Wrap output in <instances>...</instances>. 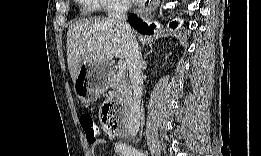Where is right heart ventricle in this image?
Instances as JSON below:
<instances>
[{"label": "right heart ventricle", "mask_w": 261, "mask_h": 156, "mask_svg": "<svg viewBox=\"0 0 261 156\" xmlns=\"http://www.w3.org/2000/svg\"><path fill=\"white\" fill-rule=\"evenodd\" d=\"M83 4H86V5L90 6L89 5V0L88 1H83Z\"/></svg>", "instance_id": "e07e8e85"}]
</instances>
